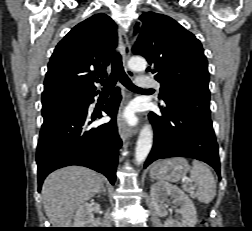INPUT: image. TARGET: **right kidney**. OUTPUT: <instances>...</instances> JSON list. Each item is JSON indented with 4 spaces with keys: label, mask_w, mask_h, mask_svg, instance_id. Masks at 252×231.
<instances>
[{
    "label": "right kidney",
    "mask_w": 252,
    "mask_h": 231,
    "mask_svg": "<svg viewBox=\"0 0 252 231\" xmlns=\"http://www.w3.org/2000/svg\"><path fill=\"white\" fill-rule=\"evenodd\" d=\"M95 225L94 215L88 203L81 205L74 217L75 228H92Z\"/></svg>",
    "instance_id": "obj_1"
}]
</instances>
